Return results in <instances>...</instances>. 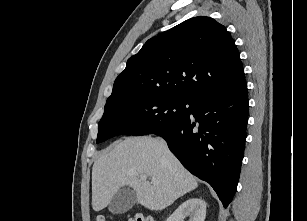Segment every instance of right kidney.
<instances>
[{
	"mask_svg": "<svg viewBox=\"0 0 307 221\" xmlns=\"http://www.w3.org/2000/svg\"><path fill=\"white\" fill-rule=\"evenodd\" d=\"M204 221L206 217V202L201 198H190L183 202L166 221Z\"/></svg>",
	"mask_w": 307,
	"mask_h": 221,
	"instance_id": "1",
	"label": "right kidney"
}]
</instances>
